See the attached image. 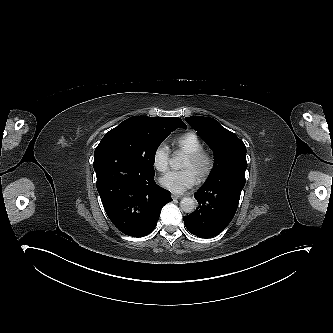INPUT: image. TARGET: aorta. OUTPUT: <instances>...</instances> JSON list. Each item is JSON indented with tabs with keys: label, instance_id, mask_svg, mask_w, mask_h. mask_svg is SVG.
I'll return each mask as SVG.
<instances>
[{
	"label": "aorta",
	"instance_id": "obj_1",
	"mask_svg": "<svg viewBox=\"0 0 333 333\" xmlns=\"http://www.w3.org/2000/svg\"><path fill=\"white\" fill-rule=\"evenodd\" d=\"M181 209L186 213H191L196 209V202L190 197H184L180 202Z\"/></svg>",
	"mask_w": 333,
	"mask_h": 333
}]
</instances>
